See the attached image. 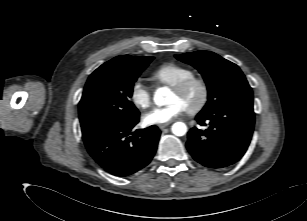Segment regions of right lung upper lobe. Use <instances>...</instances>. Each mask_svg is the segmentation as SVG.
Returning <instances> with one entry per match:
<instances>
[{"mask_svg":"<svg viewBox=\"0 0 307 221\" xmlns=\"http://www.w3.org/2000/svg\"><path fill=\"white\" fill-rule=\"evenodd\" d=\"M143 57H133L130 55H123V56H118L113 58L112 60L104 63L101 67H106V66H116L118 64H126V63H133L141 60Z\"/></svg>","mask_w":307,"mask_h":221,"instance_id":"1","label":"right lung upper lobe"}]
</instances>
